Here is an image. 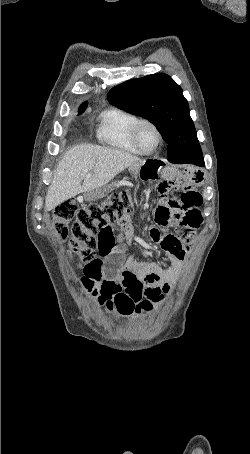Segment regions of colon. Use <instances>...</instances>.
<instances>
[{
	"label": "colon",
	"instance_id": "colon-1",
	"mask_svg": "<svg viewBox=\"0 0 250 454\" xmlns=\"http://www.w3.org/2000/svg\"><path fill=\"white\" fill-rule=\"evenodd\" d=\"M133 202L128 192L113 194L109 200L79 207L74 200L60 203L54 210V227L62 238L68 237V225L73 220L69 237L70 253L78 265L87 264L94 259L98 248V234L132 214Z\"/></svg>",
	"mask_w": 250,
	"mask_h": 454
}]
</instances>
